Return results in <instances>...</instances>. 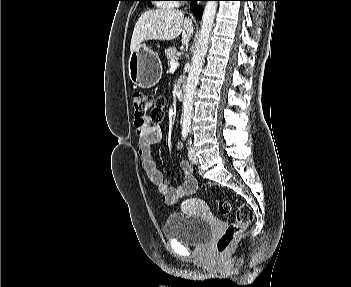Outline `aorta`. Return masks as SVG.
Returning a JSON list of instances; mask_svg holds the SVG:
<instances>
[{
  "label": "aorta",
  "instance_id": "obj_1",
  "mask_svg": "<svg viewBox=\"0 0 351 287\" xmlns=\"http://www.w3.org/2000/svg\"><path fill=\"white\" fill-rule=\"evenodd\" d=\"M217 1H208L206 3L201 22V29L196 48L192 57L190 72L187 78L185 87V95L183 101V128L188 129L191 123L193 96L199 81V75L202 70L203 63L208 51L210 33L214 24V19L217 11Z\"/></svg>",
  "mask_w": 351,
  "mask_h": 287
}]
</instances>
